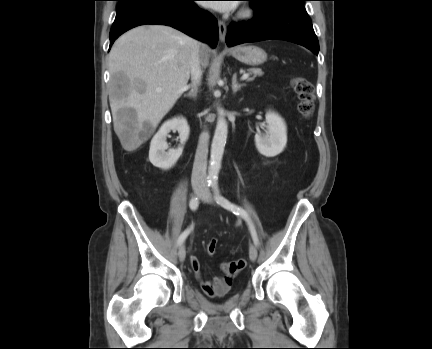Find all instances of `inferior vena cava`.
<instances>
[{"instance_id": "obj_1", "label": "inferior vena cava", "mask_w": 432, "mask_h": 349, "mask_svg": "<svg viewBox=\"0 0 432 349\" xmlns=\"http://www.w3.org/2000/svg\"><path fill=\"white\" fill-rule=\"evenodd\" d=\"M200 43L196 40H193L192 52L190 58V72L191 79L194 87L201 82L202 77V69H201V61L199 54ZM208 142H209V134L204 131L198 141V146L195 154V160L193 164L191 183L192 185H202L205 186L207 184V156H208Z\"/></svg>"}]
</instances>
